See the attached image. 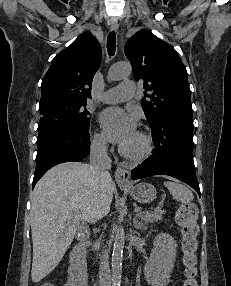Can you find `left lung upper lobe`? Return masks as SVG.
I'll return each mask as SVG.
<instances>
[{"instance_id": "left-lung-upper-lobe-1", "label": "left lung upper lobe", "mask_w": 231, "mask_h": 286, "mask_svg": "<svg viewBox=\"0 0 231 286\" xmlns=\"http://www.w3.org/2000/svg\"><path fill=\"white\" fill-rule=\"evenodd\" d=\"M136 81L143 79L141 105L150 127L168 113L192 115L187 71L176 50L152 32L140 30L125 46Z\"/></svg>"}]
</instances>
